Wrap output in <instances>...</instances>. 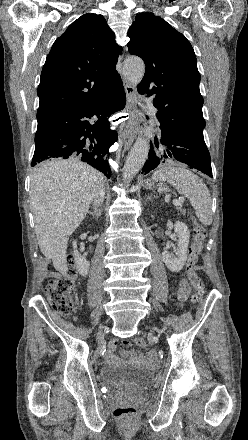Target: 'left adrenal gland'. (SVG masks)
Masks as SVG:
<instances>
[{
	"label": "left adrenal gland",
	"instance_id": "a2214340",
	"mask_svg": "<svg viewBox=\"0 0 248 440\" xmlns=\"http://www.w3.org/2000/svg\"><path fill=\"white\" fill-rule=\"evenodd\" d=\"M147 200H150V201H151L152 199H151V197H147Z\"/></svg>",
	"mask_w": 248,
	"mask_h": 440
}]
</instances>
